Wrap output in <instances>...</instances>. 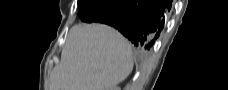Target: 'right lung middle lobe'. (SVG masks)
<instances>
[{
    "mask_svg": "<svg viewBox=\"0 0 228 90\" xmlns=\"http://www.w3.org/2000/svg\"><path fill=\"white\" fill-rule=\"evenodd\" d=\"M97 0H78L79 12L78 15L81 18L84 12V8L88 5H94Z\"/></svg>",
    "mask_w": 228,
    "mask_h": 90,
    "instance_id": "right-lung-middle-lobe-1",
    "label": "right lung middle lobe"
}]
</instances>
